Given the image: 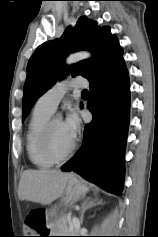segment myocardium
<instances>
[{
	"label": "myocardium",
	"instance_id": "obj_1",
	"mask_svg": "<svg viewBox=\"0 0 158 237\" xmlns=\"http://www.w3.org/2000/svg\"><path fill=\"white\" fill-rule=\"evenodd\" d=\"M56 119H50L44 126L40 135V149L43 155L53 163H60L69 159L76 148L75 142L72 143L70 149L63 155H57L51 146V130Z\"/></svg>",
	"mask_w": 158,
	"mask_h": 237
}]
</instances>
